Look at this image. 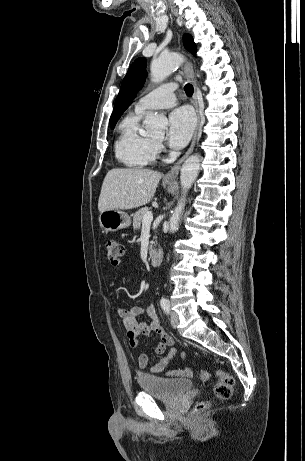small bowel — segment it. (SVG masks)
<instances>
[{
	"label": "small bowel",
	"instance_id": "1",
	"mask_svg": "<svg viewBox=\"0 0 305 461\" xmlns=\"http://www.w3.org/2000/svg\"><path fill=\"white\" fill-rule=\"evenodd\" d=\"M121 262L113 265L115 267H121ZM144 309L139 305H134L131 307H116V315L121 321L122 328L126 334L129 345L132 348L139 346V336L149 337L152 334H156L159 338V341L156 347L153 350V353L156 355H161L164 353L167 347H171L168 355L160 359L154 366H152L151 371L153 373L162 372L169 364H171L176 356V349L174 346V339L168 335L162 328L156 310L153 304H148L146 307V313L148 320L140 321L139 317L143 314ZM182 357L185 358V354H182ZM149 361V354L147 352H142L138 357V365L141 369L147 367ZM168 376L176 377H191L192 371L190 369H176L168 371L166 373Z\"/></svg>",
	"mask_w": 305,
	"mask_h": 461
}]
</instances>
